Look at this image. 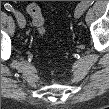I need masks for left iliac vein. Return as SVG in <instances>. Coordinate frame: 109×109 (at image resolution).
<instances>
[{
    "label": "left iliac vein",
    "instance_id": "left-iliac-vein-1",
    "mask_svg": "<svg viewBox=\"0 0 109 109\" xmlns=\"http://www.w3.org/2000/svg\"><path fill=\"white\" fill-rule=\"evenodd\" d=\"M84 11H85V10H84L82 4L79 3V4L77 5L76 9H75L74 17H75L76 19L81 18L82 15L84 14Z\"/></svg>",
    "mask_w": 109,
    "mask_h": 109
}]
</instances>
